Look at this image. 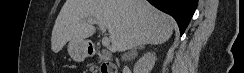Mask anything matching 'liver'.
Here are the masks:
<instances>
[{"mask_svg": "<svg viewBox=\"0 0 244 73\" xmlns=\"http://www.w3.org/2000/svg\"><path fill=\"white\" fill-rule=\"evenodd\" d=\"M88 19L105 25L112 52L162 44L176 25L172 17L146 0H66L52 30V51L58 53L68 41L91 37L96 29Z\"/></svg>", "mask_w": 244, "mask_h": 73, "instance_id": "liver-1", "label": "liver"}]
</instances>
